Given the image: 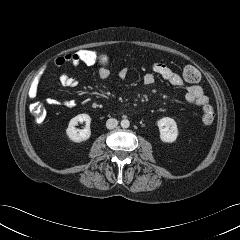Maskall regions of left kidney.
I'll use <instances>...</instances> for the list:
<instances>
[{"label": "left kidney", "mask_w": 240, "mask_h": 240, "mask_svg": "<svg viewBox=\"0 0 240 240\" xmlns=\"http://www.w3.org/2000/svg\"><path fill=\"white\" fill-rule=\"evenodd\" d=\"M160 131V139L165 143H173L178 137V128L174 119L163 117L157 121Z\"/></svg>", "instance_id": "left-kidney-1"}]
</instances>
